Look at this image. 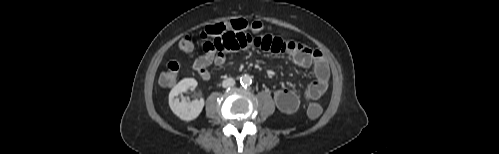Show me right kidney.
Wrapping results in <instances>:
<instances>
[{
    "instance_id": "ca27d5eb",
    "label": "right kidney",
    "mask_w": 499,
    "mask_h": 154,
    "mask_svg": "<svg viewBox=\"0 0 499 154\" xmlns=\"http://www.w3.org/2000/svg\"><path fill=\"white\" fill-rule=\"evenodd\" d=\"M197 84L194 78H185L174 86L169 93V106L173 113L181 120L191 121L196 119L204 107V100L202 98L192 102L179 101L178 98L179 94L187 92L189 89L194 90Z\"/></svg>"
}]
</instances>
